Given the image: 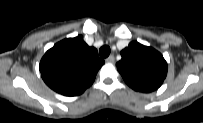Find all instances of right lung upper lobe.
Masks as SVG:
<instances>
[{
	"label": "right lung upper lobe",
	"mask_w": 203,
	"mask_h": 123,
	"mask_svg": "<svg viewBox=\"0 0 203 123\" xmlns=\"http://www.w3.org/2000/svg\"><path fill=\"white\" fill-rule=\"evenodd\" d=\"M103 64L97 50L79 35L56 43L41 59L39 69L51 89L65 96H76L92 85Z\"/></svg>",
	"instance_id": "cb5924a9"
}]
</instances>
